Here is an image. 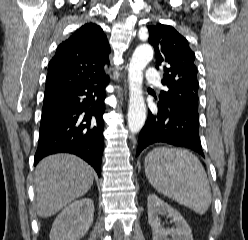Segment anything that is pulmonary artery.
Segmentation results:
<instances>
[{"mask_svg":"<svg viewBox=\"0 0 248 240\" xmlns=\"http://www.w3.org/2000/svg\"><path fill=\"white\" fill-rule=\"evenodd\" d=\"M145 79L149 83H157L160 81V73L156 70H148Z\"/></svg>","mask_w":248,"mask_h":240,"instance_id":"e3ab8cb5","label":"pulmonary artery"}]
</instances>
